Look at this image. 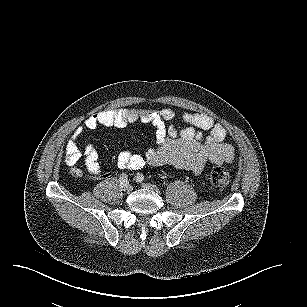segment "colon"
Here are the masks:
<instances>
[{
	"label": "colon",
	"mask_w": 307,
	"mask_h": 307,
	"mask_svg": "<svg viewBox=\"0 0 307 307\" xmlns=\"http://www.w3.org/2000/svg\"><path fill=\"white\" fill-rule=\"evenodd\" d=\"M210 183L218 188L226 187L231 181L230 172L223 167H215L209 173Z\"/></svg>",
	"instance_id": "1"
}]
</instances>
